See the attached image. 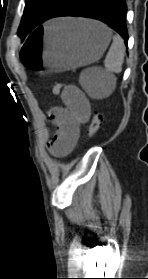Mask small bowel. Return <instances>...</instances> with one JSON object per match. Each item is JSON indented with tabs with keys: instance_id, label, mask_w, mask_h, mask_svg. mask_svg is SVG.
<instances>
[{
	"instance_id": "1",
	"label": "small bowel",
	"mask_w": 148,
	"mask_h": 279,
	"mask_svg": "<svg viewBox=\"0 0 148 279\" xmlns=\"http://www.w3.org/2000/svg\"><path fill=\"white\" fill-rule=\"evenodd\" d=\"M62 98L65 106L55 107L49 113L56 126L49 149L56 157H64L75 148L80 136V125L88 121L91 113L88 99L77 87H66Z\"/></svg>"
}]
</instances>
